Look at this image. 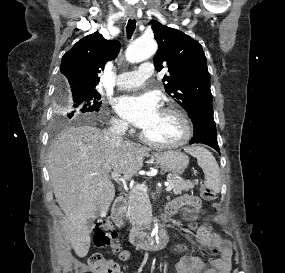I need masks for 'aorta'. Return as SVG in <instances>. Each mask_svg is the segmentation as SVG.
Listing matches in <instances>:
<instances>
[{"label":"aorta","instance_id":"762f6f07","mask_svg":"<svg viewBox=\"0 0 285 273\" xmlns=\"http://www.w3.org/2000/svg\"><path fill=\"white\" fill-rule=\"evenodd\" d=\"M157 43L150 38H140L134 41L126 51V60L130 63H137L153 56L157 51ZM158 225L155 224L152 230V237H157Z\"/></svg>","mask_w":285,"mask_h":273}]
</instances>
